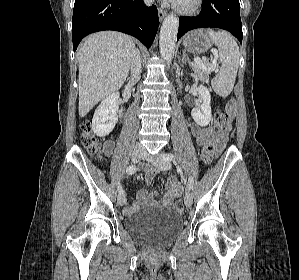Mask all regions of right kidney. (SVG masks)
Returning <instances> with one entry per match:
<instances>
[{
    "label": "right kidney",
    "instance_id": "ca27d5eb",
    "mask_svg": "<svg viewBox=\"0 0 299 280\" xmlns=\"http://www.w3.org/2000/svg\"><path fill=\"white\" fill-rule=\"evenodd\" d=\"M119 93H113L103 99L95 110L91 128L99 137L107 136L115 127L118 121Z\"/></svg>",
    "mask_w": 299,
    "mask_h": 280
}]
</instances>
